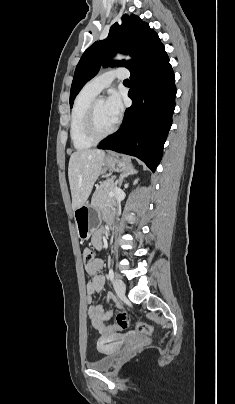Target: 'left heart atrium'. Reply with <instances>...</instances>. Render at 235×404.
Masks as SVG:
<instances>
[{
  "label": "left heart atrium",
  "mask_w": 235,
  "mask_h": 404,
  "mask_svg": "<svg viewBox=\"0 0 235 404\" xmlns=\"http://www.w3.org/2000/svg\"><path fill=\"white\" fill-rule=\"evenodd\" d=\"M107 114L116 123L123 112L122 98L119 93L112 92L105 102Z\"/></svg>",
  "instance_id": "39dd6f15"
}]
</instances>
